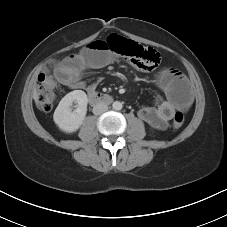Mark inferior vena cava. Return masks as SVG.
Instances as JSON below:
<instances>
[{
    "label": "inferior vena cava",
    "mask_w": 227,
    "mask_h": 227,
    "mask_svg": "<svg viewBox=\"0 0 227 227\" xmlns=\"http://www.w3.org/2000/svg\"><path fill=\"white\" fill-rule=\"evenodd\" d=\"M108 110V106L104 103H98L93 107V113L95 115L102 114Z\"/></svg>",
    "instance_id": "602c4592"
}]
</instances>
